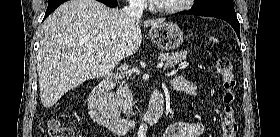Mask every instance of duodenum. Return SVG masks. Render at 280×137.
<instances>
[{
	"instance_id": "obj_1",
	"label": "duodenum",
	"mask_w": 280,
	"mask_h": 137,
	"mask_svg": "<svg viewBox=\"0 0 280 137\" xmlns=\"http://www.w3.org/2000/svg\"><path fill=\"white\" fill-rule=\"evenodd\" d=\"M115 84V77L110 75L102 78L88 99V109L93 119L117 134H128L142 125L153 126L163 115L164 97L155 88L152 93L147 113L139 119H121L112 114L104 105L108 92Z\"/></svg>"
}]
</instances>
